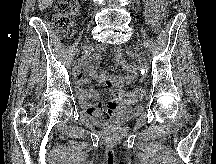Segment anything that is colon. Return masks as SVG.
Segmentation results:
<instances>
[{
  "label": "colon",
  "instance_id": "colon-1",
  "mask_svg": "<svg viewBox=\"0 0 216 164\" xmlns=\"http://www.w3.org/2000/svg\"><path fill=\"white\" fill-rule=\"evenodd\" d=\"M178 2L179 0H172ZM77 9V0H60L56 7V12L53 17L54 26L61 32H66L72 25L73 15ZM105 86L111 90V97L114 101L120 104L131 105L135 104L145 96L143 88H135L131 91L122 89H112L111 85L105 83Z\"/></svg>",
  "mask_w": 216,
  "mask_h": 164
}]
</instances>
